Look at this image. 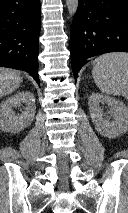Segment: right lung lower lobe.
Here are the masks:
<instances>
[{"label":"right lung lower lobe","mask_w":128,"mask_h":213,"mask_svg":"<svg viewBox=\"0 0 128 213\" xmlns=\"http://www.w3.org/2000/svg\"><path fill=\"white\" fill-rule=\"evenodd\" d=\"M40 0H0V66L27 71L40 85Z\"/></svg>","instance_id":"1"}]
</instances>
